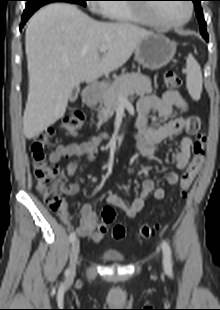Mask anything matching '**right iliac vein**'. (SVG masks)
Masks as SVG:
<instances>
[{"mask_svg": "<svg viewBox=\"0 0 220 310\" xmlns=\"http://www.w3.org/2000/svg\"><path fill=\"white\" fill-rule=\"evenodd\" d=\"M79 251H80V244L79 240L75 239L72 242L71 246V253H70V264L67 270V277L73 278L76 274V267L79 261Z\"/></svg>", "mask_w": 220, "mask_h": 310, "instance_id": "63e3f726", "label": "right iliac vein"}]
</instances>
